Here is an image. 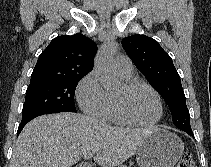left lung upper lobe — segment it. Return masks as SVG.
Instances as JSON below:
<instances>
[{
	"mask_svg": "<svg viewBox=\"0 0 211 167\" xmlns=\"http://www.w3.org/2000/svg\"><path fill=\"white\" fill-rule=\"evenodd\" d=\"M122 45L136 67L164 98L174 125L181 130L191 129L180 76L171 57L156 40L145 35L126 37Z\"/></svg>",
	"mask_w": 211,
	"mask_h": 167,
	"instance_id": "obj_1",
	"label": "left lung upper lobe"
}]
</instances>
